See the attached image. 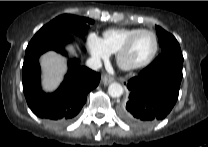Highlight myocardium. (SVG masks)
Masks as SVG:
<instances>
[{
  "label": "myocardium",
  "instance_id": "1",
  "mask_svg": "<svg viewBox=\"0 0 208 147\" xmlns=\"http://www.w3.org/2000/svg\"><path fill=\"white\" fill-rule=\"evenodd\" d=\"M144 33H149L154 37L155 40V48L153 53L151 54V56L144 62L139 63V64H128L124 61V56L126 55V53L129 51V49L131 48L132 44L134 43V41L141 35ZM159 39L156 35V33L152 30H148V29H141L138 32L134 33L132 36H130L126 42L120 47V49L116 52V61L118 66L125 71H135V70H139L142 68H145L147 66H149L156 58L158 52H159Z\"/></svg>",
  "mask_w": 208,
  "mask_h": 147
}]
</instances>
